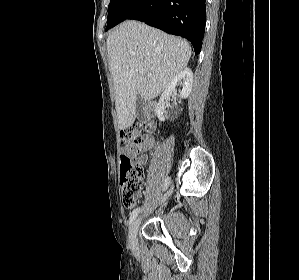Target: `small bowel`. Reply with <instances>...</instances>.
<instances>
[{
	"label": "small bowel",
	"instance_id": "small-bowel-1",
	"mask_svg": "<svg viewBox=\"0 0 299 280\" xmlns=\"http://www.w3.org/2000/svg\"><path fill=\"white\" fill-rule=\"evenodd\" d=\"M154 145H155V141L151 137L147 136L144 138L143 142L140 143L139 145L124 149V151L131 155H139L150 150L151 148L154 147ZM138 161L143 163L145 161V157H140Z\"/></svg>",
	"mask_w": 299,
	"mask_h": 280
}]
</instances>
